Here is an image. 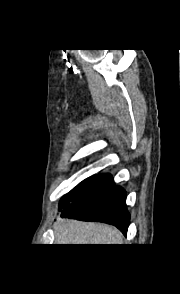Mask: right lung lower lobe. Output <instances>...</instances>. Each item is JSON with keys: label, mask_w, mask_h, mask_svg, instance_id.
Segmentation results:
<instances>
[{"label": "right lung lower lobe", "mask_w": 180, "mask_h": 294, "mask_svg": "<svg viewBox=\"0 0 180 294\" xmlns=\"http://www.w3.org/2000/svg\"><path fill=\"white\" fill-rule=\"evenodd\" d=\"M61 216L115 225L127 234L130 215L126 192L115 186L109 174L93 175L66 194L59 203Z\"/></svg>", "instance_id": "right-lung-lower-lobe-1"}]
</instances>
